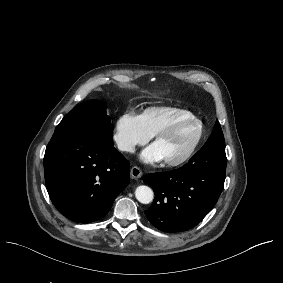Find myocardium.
I'll use <instances>...</instances> for the list:
<instances>
[{
    "instance_id": "obj_1",
    "label": "myocardium",
    "mask_w": 283,
    "mask_h": 283,
    "mask_svg": "<svg viewBox=\"0 0 283 283\" xmlns=\"http://www.w3.org/2000/svg\"><path fill=\"white\" fill-rule=\"evenodd\" d=\"M187 122H194L197 125L194 140L192 141L188 150L180 158L176 160H165V164L169 167L182 166L195 155L204 137L205 127L203 121L194 115L183 116L175 120L164 130L156 134L155 138L157 142L160 140L168 139L177 132L180 126Z\"/></svg>"
}]
</instances>
